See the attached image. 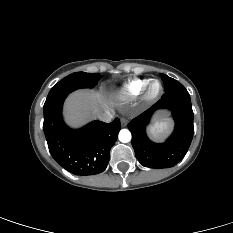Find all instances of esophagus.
<instances>
[{
	"label": "esophagus",
	"mask_w": 233,
	"mask_h": 233,
	"mask_svg": "<svg viewBox=\"0 0 233 233\" xmlns=\"http://www.w3.org/2000/svg\"><path fill=\"white\" fill-rule=\"evenodd\" d=\"M127 123H128V121H127L126 118H121V125H122V127L127 126Z\"/></svg>",
	"instance_id": "1"
}]
</instances>
